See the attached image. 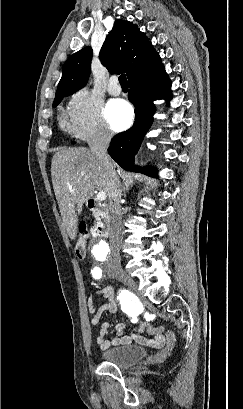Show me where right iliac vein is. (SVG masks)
I'll return each instance as SVG.
<instances>
[{
  "instance_id": "obj_1",
  "label": "right iliac vein",
  "mask_w": 243,
  "mask_h": 409,
  "mask_svg": "<svg viewBox=\"0 0 243 409\" xmlns=\"http://www.w3.org/2000/svg\"><path fill=\"white\" fill-rule=\"evenodd\" d=\"M113 277L121 281L123 284L127 285L133 290L137 289V284L136 282L126 273L123 271L115 272L113 273Z\"/></svg>"
}]
</instances>
